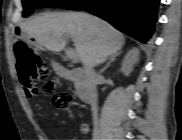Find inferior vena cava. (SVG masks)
Returning <instances> with one entry per match:
<instances>
[{
  "label": "inferior vena cava",
  "mask_w": 182,
  "mask_h": 140,
  "mask_svg": "<svg viewBox=\"0 0 182 140\" xmlns=\"http://www.w3.org/2000/svg\"><path fill=\"white\" fill-rule=\"evenodd\" d=\"M84 70H85L86 77H87V88L90 93V106H91V110L93 113V119H94V121H96L97 111H98L97 88H96L98 76H97L95 70L93 69V67H91V66H86L84 68Z\"/></svg>",
  "instance_id": "602c4592"
}]
</instances>
